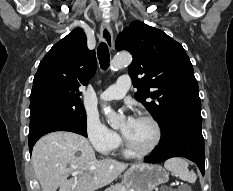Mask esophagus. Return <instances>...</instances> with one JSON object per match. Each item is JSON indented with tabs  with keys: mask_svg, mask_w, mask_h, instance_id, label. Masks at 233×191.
Listing matches in <instances>:
<instances>
[{
	"mask_svg": "<svg viewBox=\"0 0 233 191\" xmlns=\"http://www.w3.org/2000/svg\"><path fill=\"white\" fill-rule=\"evenodd\" d=\"M101 41L106 43L110 50L113 49V32L109 22L104 21L101 25Z\"/></svg>",
	"mask_w": 233,
	"mask_h": 191,
	"instance_id": "34e87169",
	"label": "esophagus"
}]
</instances>
